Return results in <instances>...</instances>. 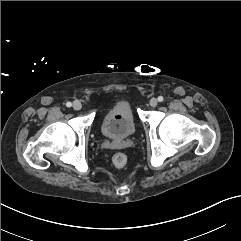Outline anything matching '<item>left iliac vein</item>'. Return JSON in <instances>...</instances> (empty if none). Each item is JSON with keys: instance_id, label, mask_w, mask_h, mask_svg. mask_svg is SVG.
Wrapping results in <instances>:
<instances>
[{"instance_id": "left-iliac-vein-1", "label": "left iliac vein", "mask_w": 241, "mask_h": 241, "mask_svg": "<svg viewBox=\"0 0 241 241\" xmlns=\"http://www.w3.org/2000/svg\"><path fill=\"white\" fill-rule=\"evenodd\" d=\"M149 103H150V106L156 107L158 104V101L156 98H152Z\"/></svg>"}]
</instances>
